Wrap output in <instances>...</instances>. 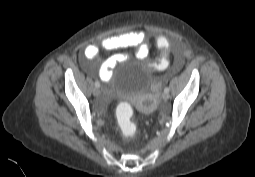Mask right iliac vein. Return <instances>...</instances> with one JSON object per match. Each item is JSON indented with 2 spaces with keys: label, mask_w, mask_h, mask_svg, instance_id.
I'll return each instance as SVG.
<instances>
[{
  "label": "right iliac vein",
  "mask_w": 255,
  "mask_h": 177,
  "mask_svg": "<svg viewBox=\"0 0 255 177\" xmlns=\"http://www.w3.org/2000/svg\"><path fill=\"white\" fill-rule=\"evenodd\" d=\"M99 94H100L99 88L95 87V88L93 89V95L97 97Z\"/></svg>",
  "instance_id": "1"
}]
</instances>
